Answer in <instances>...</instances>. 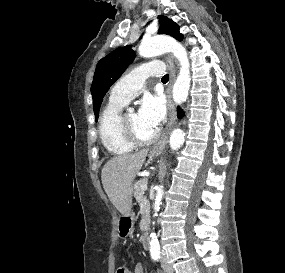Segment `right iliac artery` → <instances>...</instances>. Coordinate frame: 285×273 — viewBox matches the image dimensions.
Listing matches in <instances>:
<instances>
[{
    "instance_id": "1",
    "label": "right iliac artery",
    "mask_w": 285,
    "mask_h": 273,
    "mask_svg": "<svg viewBox=\"0 0 285 273\" xmlns=\"http://www.w3.org/2000/svg\"><path fill=\"white\" fill-rule=\"evenodd\" d=\"M152 258H153L154 260H156V259L159 258V256H158V255H155V256H152Z\"/></svg>"
}]
</instances>
